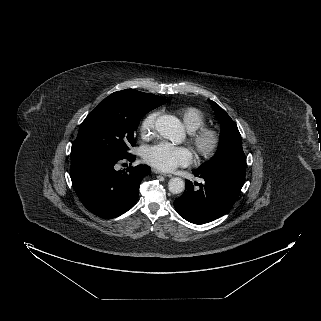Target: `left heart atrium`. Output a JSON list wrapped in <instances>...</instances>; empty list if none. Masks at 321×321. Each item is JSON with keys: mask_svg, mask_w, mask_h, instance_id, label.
I'll list each match as a JSON object with an SVG mask.
<instances>
[{"mask_svg": "<svg viewBox=\"0 0 321 321\" xmlns=\"http://www.w3.org/2000/svg\"><path fill=\"white\" fill-rule=\"evenodd\" d=\"M144 160L160 170L171 171L178 166L189 165L192 162V154L185 147L160 143L145 150Z\"/></svg>", "mask_w": 321, "mask_h": 321, "instance_id": "1", "label": "left heart atrium"}]
</instances>
